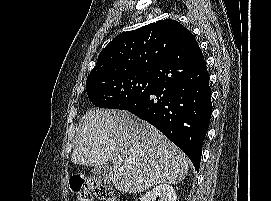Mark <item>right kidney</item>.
Returning <instances> with one entry per match:
<instances>
[{
	"label": "right kidney",
	"mask_w": 271,
	"mask_h": 201,
	"mask_svg": "<svg viewBox=\"0 0 271 201\" xmlns=\"http://www.w3.org/2000/svg\"><path fill=\"white\" fill-rule=\"evenodd\" d=\"M176 193L169 184H160L152 190L146 192L140 201H176Z\"/></svg>",
	"instance_id": "obj_1"
}]
</instances>
